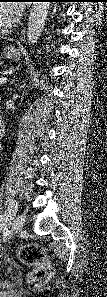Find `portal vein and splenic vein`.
I'll return each mask as SVG.
<instances>
[{
	"mask_svg": "<svg viewBox=\"0 0 107 297\" xmlns=\"http://www.w3.org/2000/svg\"><path fill=\"white\" fill-rule=\"evenodd\" d=\"M7 80H8L7 77H1L0 78V84L4 85L5 83H7Z\"/></svg>",
	"mask_w": 107,
	"mask_h": 297,
	"instance_id": "1",
	"label": "portal vein and splenic vein"
}]
</instances>
